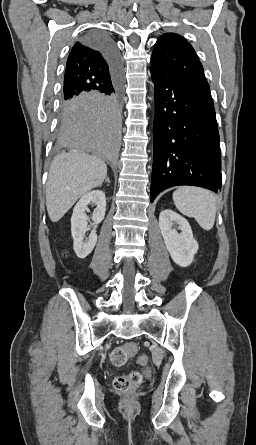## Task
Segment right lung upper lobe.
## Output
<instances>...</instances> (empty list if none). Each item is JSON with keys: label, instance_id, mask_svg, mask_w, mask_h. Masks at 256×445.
<instances>
[{"label": "right lung upper lobe", "instance_id": "right-lung-upper-lobe-1", "mask_svg": "<svg viewBox=\"0 0 256 445\" xmlns=\"http://www.w3.org/2000/svg\"><path fill=\"white\" fill-rule=\"evenodd\" d=\"M112 71L104 54L84 40L76 42L68 56L62 98L74 99L111 85Z\"/></svg>", "mask_w": 256, "mask_h": 445}]
</instances>
